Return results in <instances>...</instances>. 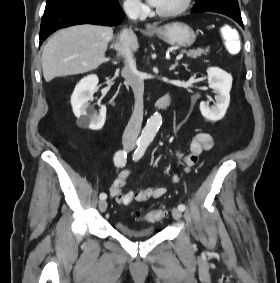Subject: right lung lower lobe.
I'll return each instance as SVG.
<instances>
[{"mask_svg": "<svg viewBox=\"0 0 280 283\" xmlns=\"http://www.w3.org/2000/svg\"><path fill=\"white\" fill-rule=\"evenodd\" d=\"M123 18L118 0L108 6H65L44 11L39 34L40 45L61 28L79 24L114 26L121 23Z\"/></svg>", "mask_w": 280, "mask_h": 283, "instance_id": "obj_1", "label": "right lung lower lobe"}]
</instances>
